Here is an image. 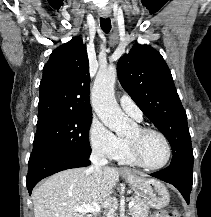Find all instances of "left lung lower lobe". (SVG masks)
Masks as SVG:
<instances>
[{"label": "left lung lower lobe", "mask_w": 211, "mask_h": 217, "mask_svg": "<svg viewBox=\"0 0 211 217\" xmlns=\"http://www.w3.org/2000/svg\"><path fill=\"white\" fill-rule=\"evenodd\" d=\"M192 169V165L175 164L150 175L174 185L189 204L193 182Z\"/></svg>", "instance_id": "left-lung-lower-lobe-1"}]
</instances>
